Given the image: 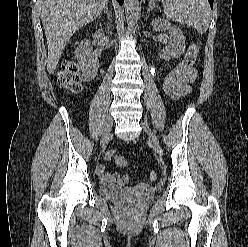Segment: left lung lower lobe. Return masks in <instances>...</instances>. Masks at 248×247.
<instances>
[{"label":"left lung lower lobe","mask_w":248,"mask_h":247,"mask_svg":"<svg viewBox=\"0 0 248 247\" xmlns=\"http://www.w3.org/2000/svg\"><path fill=\"white\" fill-rule=\"evenodd\" d=\"M210 3L211 8L213 7V0H208Z\"/></svg>","instance_id":"0a47b994"}]
</instances>
